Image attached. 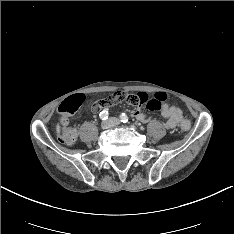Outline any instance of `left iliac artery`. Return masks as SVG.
<instances>
[{"label": "left iliac artery", "mask_w": 234, "mask_h": 234, "mask_svg": "<svg viewBox=\"0 0 234 234\" xmlns=\"http://www.w3.org/2000/svg\"><path fill=\"white\" fill-rule=\"evenodd\" d=\"M120 120H121V122L126 123V122H128V116L125 113H122L120 115Z\"/></svg>", "instance_id": "44dca946"}]
</instances>
